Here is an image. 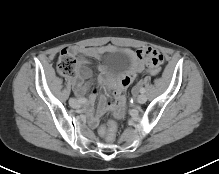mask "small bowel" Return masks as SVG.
<instances>
[{"label": "small bowel", "instance_id": "c3829d8e", "mask_svg": "<svg viewBox=\"0 0 219 174\" xmlns=\"http://www.w3.org/2000/svg\"><path fill=\"white\" fill-rule=\"evenodd\" d=\"M153 51L155 50L151 48H143L135 51L130 48H119L114 45L71 48L70 53L79 58L78 72L71 78V83L74 86L76 94L78 96H82L88 90V86L83 84V81L90 76L89 69L84 66L89 58L102 59L107 54L122 52L131 60L130 68L121 73L114 81V79L109 76L108 69L105 66H101L99 79L102 83H109V87L115 88L113 92L114 110L116 114H123L125 110L124 105L127 99L125 86L129 87L136 78L137 74L143 72L148 67L159 68L164 62L163 55L159 52ZM97 98H99L97 113L90 118V125L92 127H96L98 125L100 116H102L107 109L106 99L103 96H98L96 88H94L93 94L90 97L89 105H92Z\"/></svg>", "mask_w": 219, "mask_h": 174}]
</instances>
